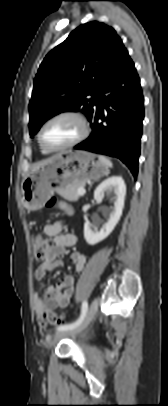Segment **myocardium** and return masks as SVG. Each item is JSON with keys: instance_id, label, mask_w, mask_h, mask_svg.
<instances>
[{"instance_id": "myocardium-1", "label": "myocardium", "mask_w": 168, "mask_h": 406, "mask_svg": "<svg viewBox=\"0 0 168 406\" xmlns=\"http://www.w3.org/2000/svg\"><path fill=\"white\" fill-rule=\"evenodd\" d=\"M61 118H71L74 119L75 121H77V123L80 126V132L78 134V136L76 138H74L71 142H69L66 145L63 146H59V147H51L45 144L44 140H43V131L45 129V127L57 120V119H61ZM90 132V127H89V123L86 119V117L75 110H64V111H60L54 115H52L51 117H49L41 126V128L39 129L38 135H37V139H38V143L39 145L46 151L48 152H56V151H62V150H66L69 148H72L76 145H78L79 143H81L82 141H84L87 136L89 135Z\"/></svg>"}]
</instances>
